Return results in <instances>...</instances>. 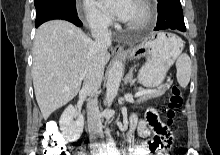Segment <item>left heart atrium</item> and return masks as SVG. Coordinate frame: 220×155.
Returning <instances> with one entry per match:
<instances>
[{"instance_id":"1","label":"left heart atrium","mask_w":220,"mask_h":155,"mask_svg":"<svg viewBox=\"0 0 220 155\" xmlns=\"http://www.w3.org/2000/svg\"><path fill=\"white\" fill-rule=\"evenodd\" d=\"M100 4L120 20H127L133 0H99Z\"/></svg>"}]
</instances>
